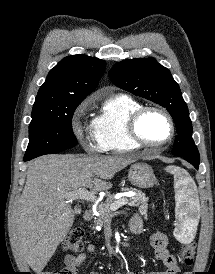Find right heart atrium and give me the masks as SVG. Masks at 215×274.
I'll list each match as a JSON object with an SVG mask.
<instances>
[{"instance_id":"1","label":"right heart atrium","mask_w":215,"mask_h":274,"mask_svg":"<svg viewBox=\"0 0 215 274\" xmlns=\"http://www.w3.org/2000/svg\"><path fill=\"white\" fill-rule=\"evenodd\" d=\"M87 109V104H83L79 109V114H83ZM74 132L79 141L83 144L88 152H103V148L96 140L90 127H83L78 122L74 123Z\"/></svg>"}]
</instances>
